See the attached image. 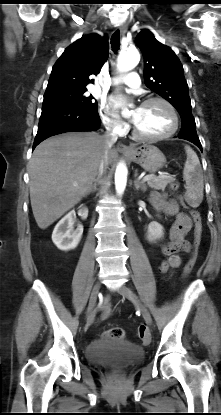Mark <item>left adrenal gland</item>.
Wrapping results in <instances>:
<instances>
[{
	"mask_svg": "<svg viewBox=\"0 0 221 415\" xmlns=\"http://www.w3.org/2000/svg\"><path fill=\"white\" fill-rule=\"evenodd\" d=\"M137 176H138V173L136 171V173H135V179H134V187H135V189L136 190L141 189L143 192H146V189H147L146 185L143 182H140L138 180Z\"/></svg>",
	"mask_w": 221,
	"mask_h": 415,
	"instance_id": "1",
	"label": "left adrenal gland"
}]
</instances>
